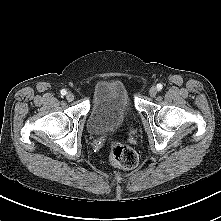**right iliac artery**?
<instances>
[{
  "label": "right iliac artery",
  "instance_id": "1",
  "mask_svg": "<svg viewBox=\"0 0 221 221\" xmlns=\"http://www.w3.org/2000/svg\"><path fill=\"white\" fill-rule=\"evenodd\" d=\"M66 90L65 89H63V90H61V95H66Z\"/></svg>",
  "mask_w": 221,
  "mask_h": 221
}]
</instances>
